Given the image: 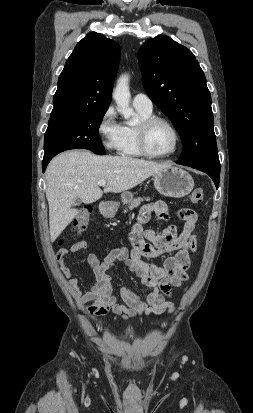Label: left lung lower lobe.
<instances>
[{"mask_svg":"<svg viewBox=\"0 0 253 413\" xmlns=\"http://www.w3.org/2000/svg\"><path fill=\"white\" fill-rule=\"evenodd\" d=\"M178 163V162H176ZM179 164V163H178ZM183 165V164H181ZM200 171L207 173L215 183L216 188L219 186V178H220V168L209 167V166H192V165H185Z\"/></svg>","mask_w":253,"mask_h":413,"instance_id":"obj_1","label":"left lung lower lobe"}]
</instances>
